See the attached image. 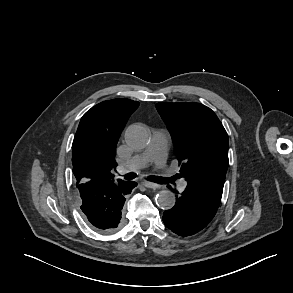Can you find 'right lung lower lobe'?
Listing matches in <instances>:
<instances>
[{
    "label": "right lung lower lobe",
    "mask_w": 293,
    "mask_h": 293,
    "mask_svg": "<svg viewBox=\"0 0 293 293\" xmlns=\"http://www.w3.org/2000/svg\"><path fill=\"white\" fill-rule=\"evenodd\" d=\"M136 182L94 180L77 182L80 208L86 222L96 230L111 232L121 225L126 195Z\"/></svg>",
    "instance_id": "1"
}]
</instances>
